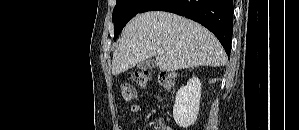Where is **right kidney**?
Returning a JSON list of instances; mask_svg holds the SVG:
<instances>
[{
  "mask_svg": "<svg viewBox=\"0 0 299 130\" xmlns=\"http://www.w3.org/2000/svg\"><path fill=\"white\" fill-rule=\"evenodd\" d=\"M200 98L201 82L199 78L193 77L176 94L173 118L177 125L186 128L194 124L199 112Z\"/></svg>",
  "mask_w": 299,
  "mask_h": 130,
  "instance_id": "obj_1",
  "label": "right kidney"
}]
</instances>
